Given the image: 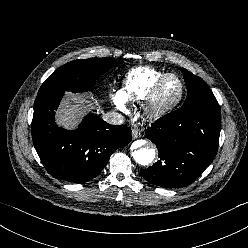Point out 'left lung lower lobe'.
<instances>
[{"mask_svg": "<svg viewBox=\"0 0 248 248\" xmlns=\"http://www.w3.org/2000/svg\"><path fill=\"white\" fill-rule=\"evenodd\" d=\"M221 129L216 98L182 106L166 114L148 128L146 138L153 141L160 160L142 176L166 188L185 187L195 181L214 160Z\"/></svg>", "mask_w": 248, "mask_h": 248, "instance_id": "left-lung-lower-lobe-1", "label": "left lung lower lobe"}]
</instances>
